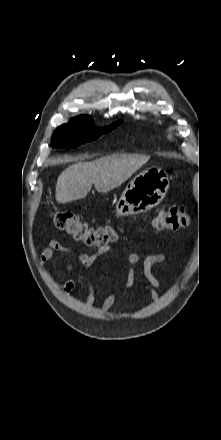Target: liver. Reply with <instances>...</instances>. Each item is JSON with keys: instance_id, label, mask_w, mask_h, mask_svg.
<instances>
[{"instance_id": "obj_1", "label": "liver", "mask_w": 221, "mask_h": 440, "mask_svg": "<svg viewBox=\"0 0 221 440\" xmlns=\"http://www.w3.org/2000/svg\"><path fill=\"white\" fill-rule=\"evenodd\" d=\"M148 160L149 157L141 155H114L72 164L57 179L56 200L64 204L83 199L93 184L99 193H107L124 183Z\"/></svg>"}]
</instances>
